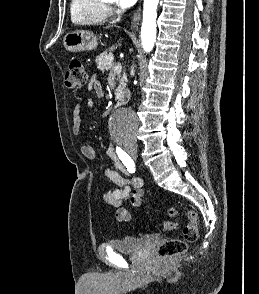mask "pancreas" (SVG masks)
<instances>
[{"label":"pancreas","instance_id":"1","mask_svg":"<svg viewBox=\"0 0 259 294\" xmlns=\"http://www.w3.org/2000/svg\"><path fill=\"white\" fill-rule=\"evenodd\" d=\"M113 54L112 53H102L96 58L97 68L104 72L109 71L110 75L118 76L119 78V86L117 89V93L120 94L126 87L127 76L124 73L123 76H120L118 72L114 71V67L117 65L113 62ZM119 103L124 101V96H119L116 98Z\"/></svg>","mask_w":259,"mask_h":294}]
</instances>
